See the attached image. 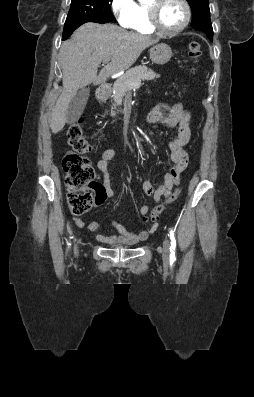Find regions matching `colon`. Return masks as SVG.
<instances>
[{
  "instance_id": "1",
  "label": "colon",
  "mask_w": 254,
  "mask_h": 397,
  "mask_svg": "<svg viewBox=\"0 0 254 397\" xmlns=\"http://www.w3.org/2000/svg\"><path fill=\"white\" fill-rule=\"evenodd\" d=\"M201 53L199 42L193 41L189 44L188 55L194 64H197ZM192 72H196L195 67L192 68ZM67 141L72 150L64 154L62 168L65 173L68 207L73 215H83L96 204L99 194L94 168L91 161L84 156L92 150V147L83 134L81 120L73 122L68 127ZM178 193L179 190H176L164 204L156 207L151 213V218L155 219L166 204L177 198Z\"/></svg>"
}]
</instances>
